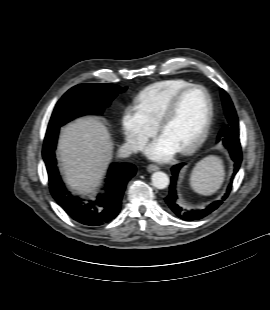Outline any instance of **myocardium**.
<instances>
[{
	"label": "myocardium",
	"mask_w": 270,
	"mask_h": 310,
	"mask_svg": "<svg viewBox=\"0 0 270 310\" xmlns=\"http://www.w3.org/2000/svg\"><path fill=\"white\" fill-rule=\"evenodd\" d=\"M195 90L202 91L207 98V103H208L207 116H206L203 129L201 133L198 135V137L194 141H192L188 146L178 151L182 155H188V154L195 152L205 142V140L207 139L209 135L212 122H213V117H214V104H213L212 96L210 92L207 90V88L199 84H191L188 87L179 91L177 94L173 96V98L171 99V101L169 102L165 110L163 111L159 119V122L157 124L158 132L162 133L163 128L166 126V124L172 119V117L177 112L179 104L181 100L183 99V97L189 92H192Z\"/></svg>",
	"instance_id": "1"
}]
</instances>
